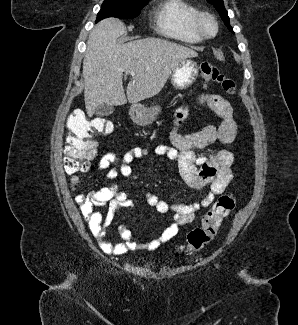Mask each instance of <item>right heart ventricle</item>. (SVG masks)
<instances>
[{
	"label": "right heart ventricle",
	"instance_id": "right-heart-ventricle-1",
	"mask_svg": "<svg viewBox=\"0 0 298 325\" xmlns=\"http://www.w3.org/2000/svg\"><path fill=\"white\" fill-rule=\"evenodd\" d=\"M194 5L171 1L161 5L155 12L154 22L159 37H176L183 45H197L203 41L194 27V21L199 14Z\"/></svg>",
	"mask_w": 298,
	"mask_h": 325
}]
</instances>
